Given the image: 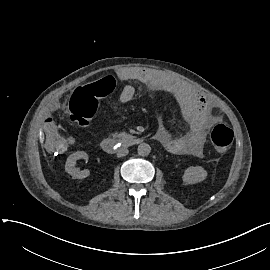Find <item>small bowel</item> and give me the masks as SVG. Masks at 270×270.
Listing matches in <instances>:
<instances>
[{
    "mask_svg": "<svg viewBox=\"0 0 270 270\" xmlns=\"http://www.w3.org/2000/svg\"><path fill=\"white\" fill-rule=\"evenodd\" d=\"M124 80L140 81L148 86L169 92L178 100L188 103L192 110L189 120V131L183 135H173L167 127L161 126L156 132L157 140L171 153L203 155V145L208 130L220 120L213 111V103L198 90L183 85L174 78L149 68L129 69L122 73ZM135 95L131 85H125L120 93V101L130 102ZM45 140L51 154L59 156L66 152L68 144L64 137L57 135L55 123L47 120L44 123Z\"/></svg>",
    "mask_w": 270,
    "mask_h": 270,
    "instance_id": "small-bowel-1",
    "label": "small bowel"
}]
</instances>
